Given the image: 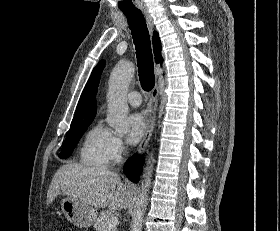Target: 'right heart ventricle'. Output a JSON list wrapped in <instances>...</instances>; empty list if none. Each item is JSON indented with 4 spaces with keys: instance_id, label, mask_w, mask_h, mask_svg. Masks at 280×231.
<instances>
[{
    "instance_id": "right-heart-ventricle-1",
    "label": "right heart ventricle",
    "mask_w": 280,
    "mask_h": 231,
    "mask_svg": "<svg viewBox=\"0 0 280 231\" xmlns=\"http://www.w3.org/2000/svg\"><path fill=\"white\" fill-rule=\"evenodd\" d=\"M109 131L95 124L86 132L80 148L79 158L82 165L91 168H105L110 159L107 151Z\"/></svg>"
}]
</instances>
